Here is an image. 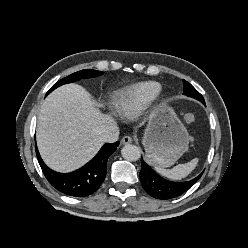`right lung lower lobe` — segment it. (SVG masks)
Instances as JSON below:
<instances>
[{
	"mask_svg": "<svg viewBox=\"0 0 248 248\" xmlns=\"http://www.w3.org/2000/svg\"><path fill=\"white\" fill-rule=\"evenodd\" d=\"M119 142L106 143L98 154L82 168L71 173H58L48 168L36 147V155L48 182L60 192L75 197H85L94 193L106 176L109 156L116 150Z\"/></svg>",
	"mask_w": 248,
	"mask_h": 248,
	"instance_id": "right-lung-lower-lobe-1",
	"label": "right lung lower lobe"
}]
</instances>
